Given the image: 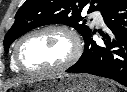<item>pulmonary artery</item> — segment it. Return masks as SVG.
Instances as JSON below:
<instances>
[{"label":"pulmonary artery","mask_w":127,"mask_h":92,"mask_svg":"<svg viewBox=\"0 0 127 92\" xmlns=\"http://www.w3.org/2000/svg\"><path fill=\"white\" fill-rule=\"evenodd\" d=\"M91 17L93 18V21L99 25H102L104 23L103 16L100 12L92 13Z\"/></svg>","instance_id":"obj_1"}]
</instances>
